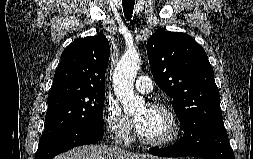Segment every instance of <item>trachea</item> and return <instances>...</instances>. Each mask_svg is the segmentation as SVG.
<instances>
[{"label": "trachea", "instance_id": "trachea-1", "mask_svg": "<svg viewBox=\"0 0 253 159\" xmlns=\"http://www.w3.org/2000/svg\"><path fill=\"white\" fill-rule=\"evenodd\" d=\"M122 3L125 18L130 20L133 14L135 0H123Z\"/></svg>", "mask_w": 253, "mask_h": 159}]
</instances>
